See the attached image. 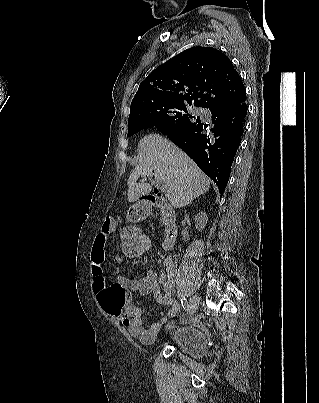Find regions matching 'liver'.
Instances as JSON below:
<instances>
[{
    "instance_id": "1",
    "label": "liver",
    "mask_w": 319,
    "mask_h": 403,
    "mask_svg": "<svg viewBox=\"0 0 319 403\" xmlns=\"http://www.w3.org/2000/svg\"><path fill=\"white\" fill-rule=\"evenodd\" d=\"M152 175L151 184L137 183L140 176ZM156 181L165 183L174 208L188 205L210 188V180L180 148L159 134H149L138 143V164L128 178L127 200L148 195Z\"/></svg>"
}]
</instances>
